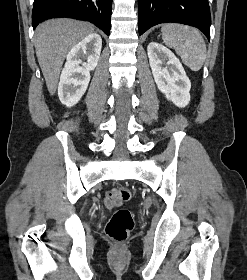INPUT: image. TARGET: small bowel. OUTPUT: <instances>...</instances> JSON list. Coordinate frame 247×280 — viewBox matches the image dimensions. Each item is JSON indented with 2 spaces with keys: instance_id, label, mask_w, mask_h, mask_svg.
I'll list each match as a JSON object with an SVG mask.
<instances>
[{
  "instance_id": "obj_1",
  "label": "small bowel",
  "mask_w": 247,
  "mask_h": 280,
  "mask_svg": "<svg viewBox=\"0 0 247 280\" xmlns=\"http://www.w3.org/2000/svg\"><path fill=\"white\" fill-rule=\"evenodd\" d=\"M104 202L107 207H113L118 204V202H116L114 199V190H111L106 194Z\"/></svg>"
}]
</instances>
